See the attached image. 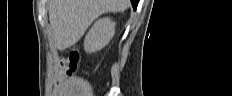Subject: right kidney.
I'll return each instance as SVG.
<instances>
[{
    "instance_id": "ca27d5eb",
    "label": "right kidney",
    "mask_w": 232,
    "mask_h": 96,
    "mask_svg": "<svg viewBox=\"0 0 232 96\" xmlns=\"http://www.w3.org/2000/svg\"><path fill=\"white\" fill-rule=\"evenodd\" d=\"M115 33V23L105 17L94 23L84 40V49L87 53L101 50L112 39Z\"/></svg>"
}]
</instances>
